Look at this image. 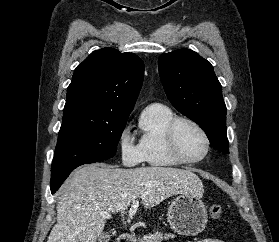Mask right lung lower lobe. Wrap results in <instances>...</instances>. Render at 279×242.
I'll list each match as a JSON object with an SVG mask.
<instances>
[{
    "mask_svg": "<svg viewBox=\"0 0 279 242\" xmlns=\"http://www.w3.org/2000/svg\"><path fill=\"white\" fill-rule=\"evenodd\" d=\"M94 163V162H93ZM73 171V170H72ZM71 171V172H72ZM67 173L65 175H63L62 177H60L58 180L54 181V182H51L50 183V188H51V193L54 194L58 189L59 187L61 186V184L63 183V181L68 177V175L71 173Z\"/></svg>",
    "mask_w": 279,
    "mask_h": 242,
    "instance_id": "98d812e1",
    "label": "right lung lower lobe"
}]
</instances>
